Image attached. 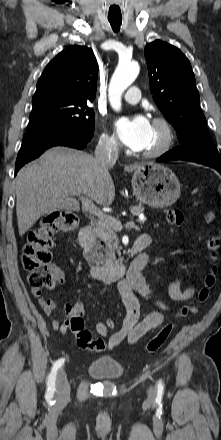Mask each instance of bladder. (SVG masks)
Instances as JSON below:
<instances>
[{
    "instance_id": "31cf9c89",
    "label": "bladder",
    "mask_w": 221,
    "mask_h": 440,
    "mask_svg": "<svg viewBox=\"0 0 221 440\" xmlns=\"http://www.w3.org/2000/svg\"><path fill=\"white\" fill-rule=\"evenodd\" d=\"M87 372L98 380L114 381L122 377L124 367L112 357H98L89 363Z\"/></svg>"
}]
</instances>
